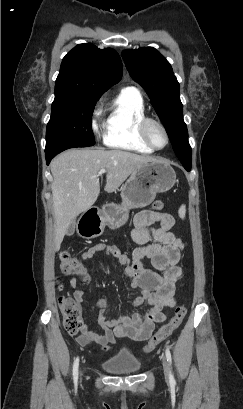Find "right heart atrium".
Returning <instances> with one entry per match:
<instances>
[{"mask_svg": "<svg viewBox=\"0 0 243 409\" xmlns=\"http://www.w3.org/2000/svg\"><path fill=\"white\" fill-rule=\"evenodd\" d=\"M91 123H92V128L96 133H99L103 129L104 125H105V119L103 117V111H102L99 104L95 107V109H94V111L92 113Z\"/></svg>", "mask_w": 243, "mask_h": 409, "instance_id": "obj_1", "label": "right heart atrium"}]
</instances>
